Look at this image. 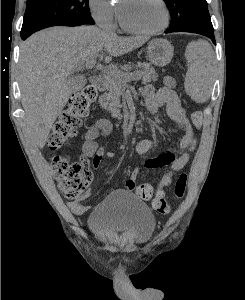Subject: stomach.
Returning a JSON list of instances; mask_svg holds the SVG:
<instances>
[{
    "mask_svg": "<svg viewBox=\"0 0 245 300\" xmlns=\"http://www.w3.org/2000/svg\"><path fill=\"white\" fill-rule=\"evenodd\" d=\"M173 54V46L165 39H154L148 45V59L155 66H166L171 61Z\"/></svg>",
    "mask_w": 245,
    "mask_h": 300,
    "instance_id": "stomach-1",
    "label": "stomach"
}]
</instances>
